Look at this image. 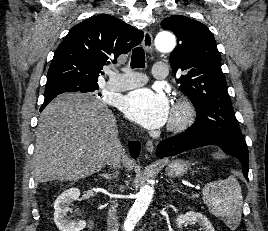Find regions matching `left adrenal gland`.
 I'll return each instance as SVG.
<instances>
[{
	"label": "left adrenal gland",
	"mask_w": 268,
	"mask_h": 231,
	"mask_svg": "<svg viewBox=\"0 0 268 231\" xmlns=\"http://www.w3.org/2000/svg\"><path fill=\"white\" fill-rule=\"evenodd\" d=\"M174 186V185H173ZM174 191H177V192H180V190L178 189V188H175L174 190H173V192Z\"/></svg>",
	"instance_id": "left-adrenal-gland-1"
}]
</instances>
